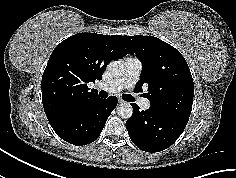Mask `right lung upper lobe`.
<instances>
[{
	"label": "right lung upper lobe",
	"mask_w": 236,
	"mask_h": 178,
	"mask_svg": "<svg viewBox=\"0 0 236 178\" xmlns=\"http://www.w3.org/2000/svg\"><path fill=\"white\" fill-rule=\"evenodd\" d=\"M126 36L78 33L52 52L42 77V102L50 123L98 100L87 83L101 80L107 64L131 54Z\"/></svg>",
	"instance_id": "cb5924a9"
}]
</instances>
